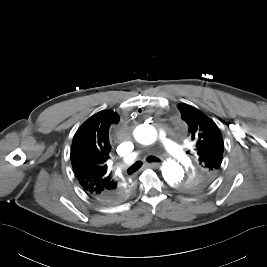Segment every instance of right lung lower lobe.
<instances>
[{
    "mask_svg": "<svg viewBox=\"0 0 267 267\" xmlns=\"http://www.w3.org/2000/svg\"><path fill=\"white\" fill-rule=\"evenodd\" d=\"M131 192H132V186L131 184L127 183L126 185L121 186L118 190L114 192L103 194L99 197L91 195L90 196L104 204H116L126 200L131 194Z\"/></svg>",
    "mask_w": 267,
    "mask_h": 267,
    "instance_id": "obj_1",
    "label": "right lung lower lobe"
}]
</instances>
